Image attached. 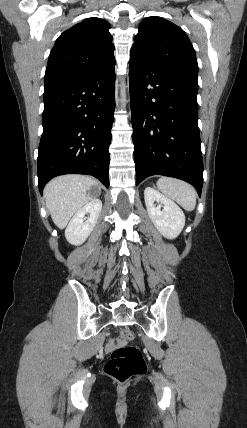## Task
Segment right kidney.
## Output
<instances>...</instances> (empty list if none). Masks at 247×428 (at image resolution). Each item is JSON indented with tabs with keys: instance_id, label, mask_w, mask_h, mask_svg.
<instances>
[{
	"instance_id": "right-kidney-1",
	"label": "right kidney",
	"mask_w": 247,
	"mask_h": 428,
	"mask_svg": "<svg viewBox=\"0 0 247 428\" xmlns=\"http://www.w3.org/2000/svg\"><path fill=\"white\" fill-rule=\"evenodd\" d=\"M101 209V200L93 199L75 213L65 230V237L70 244L81 245L85 242L97 223Z\"/></svg>"
}]
</instances>
